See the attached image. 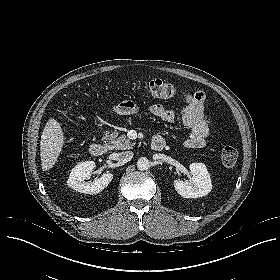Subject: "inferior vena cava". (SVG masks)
I'll use <instances>...</instances> for the list:
<instances>
[{
	"label": "inferior vena cava",
	"instance_id": "inferior-vena-cava-1",
	"mask_svg": "<svg viewBox=\"0 0 280 280\" xmlns=\"http://www.w3.org/2000/svg\"><path fill=\"white\" fill-rule=\"evenodd\" d=\"M133 155L134 154L132 151H125V152L118 153L117 157L119 161L126 163L133 158Z\"/></svg>",
	"mask_w": 280,
	"mask_h": 280
}]
</instances>
